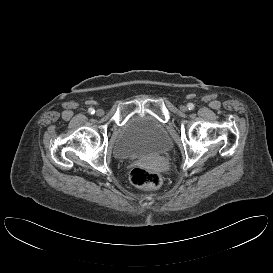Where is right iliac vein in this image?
I'll return each instance as SVG.
<instances>
[{
    "instance_id": "right-iliac-vein-1",
    "label": "right iliac vein",
    "mask_w": 273,
    "mask_h": 273,
    "mask_svg": "<svg viewBox=\"0 0 273 273\" xmlns=\"http://www.w3.org/2000/svg\"><path fill=\"white\" fill-rule=\"evenodd\" d=\"M96 114H97L98 116H102V115H104V111H103L102 109H98V110L96 111Z\"/></svg>"
}]
</instances>
